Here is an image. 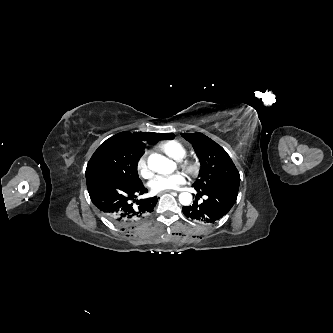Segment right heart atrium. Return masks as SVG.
I'll list each match as a JSON object with an SVG mask.
<instances>
[{
  "label": "right heart atrium",
  "mask_w": 333,
  "mask_h": 333,
  "mask_svg": "<svg viewBox=\"0 0 333 333\" xmlns=\"http://www.w3.org/2000/svg\"><path fill=\"white\" fill-rule=\"evenodd\" d=\"M137 169L140 173V175L144 178H149L152 175V170L149 166L148 163V154L145 153L139 160L137 163Z\"/></svg>",
  "instance_id": "right-heart-atrium-1"
}]
</instances>
